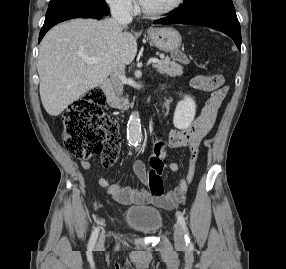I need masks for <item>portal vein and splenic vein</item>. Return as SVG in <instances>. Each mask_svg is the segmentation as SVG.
<instances>
[{"label": "portal vein and splenic vein", "instance_id": "18ae733b", "mask_svg": "<svg viewBox=\"0 0 286 269\" xmlns=\"http://www.w3.org/2000/svg\"><path fill=\"white\" fill-rule=\"evenodd\" d=\"M82 58L84 59V61H85L86 63H89V64L95 63V62L98 61V58H97V57L83 56ZM151 63H152V64H157V63H159V60H158L157 58H152V59H150V60L148 61V65L151 64Z\"/></svg>", "mask_w": 286, "mask_h": 269}]
</instances>
